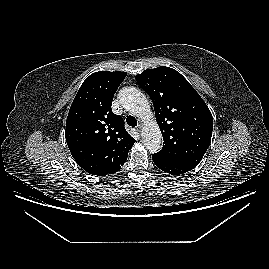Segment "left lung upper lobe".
I'll use <instances>...</instances> for the list:
<instances>
[{
  "label": "left lung upper lobe",
  "instance_id": "1",
  "mask_svg": "<svg viewBox=\"0 0 269 269\" xmlns=\"http://www.w3.org/2000/svg\"><path fill=\"white\" fill-rule=\"evenodd\" d=\"M151 97L163 148L155 155L177 165L196 167L212 136V114L190 83L176 70L161 66L136 75Z\"/></svg>",
  "mask_w": 269,
  "mask_h": 269
}]
</instances>
